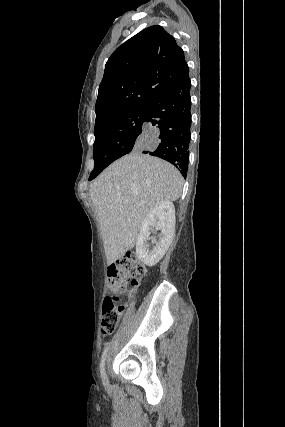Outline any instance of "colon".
<instances>
[{"mask_svg":"<svg viewBox=\"0 0 285 427\" xmlns=\"http://www.w3.org/2000/svg\"><path fill=\"white\" fill-rule=\"evenodd\" d=\"M145 273L144 266L135 258H122L108 268V290L102 309L101 332L111 334L117 326L124 306L120 300L129 287H135Z\"/></svg>","mask_w":285,"mask_h":427,"instance_id":"obj_1","label":"colon"}]
</instances>
